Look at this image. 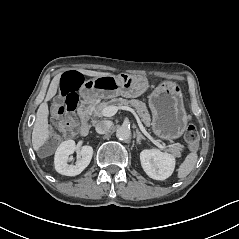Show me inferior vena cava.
<instances>
[{"label":"inferior vena cava","mask_w":239,"mask_h":239,"mask_svg":"<svg viewBox=\"0 0 239 239\" xmlns=\"http://www.w3.org/2000/svg\"><path fill=\"white\" fill-rule=\"evenodd\" d=\"M111 123L109 121H100L96 124L95 130L98 134H105L109 132Z\"/></svg>","instance_id":"inferior-vena-cava-1"}]
</instances>
